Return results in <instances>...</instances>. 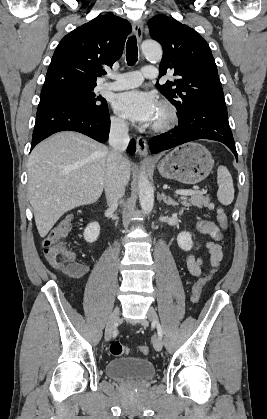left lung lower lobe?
Returning <instances> with one entry per match:
<instances>
[{"instance_id": "0a47b994", "label": "left lung lower lobe", "mask_w": 267, "mask_h": 419, "mask_svg": "<svg viewBox=\"0 0 267 419\" xmlns=\"http://www.w3.org/2000/svg\"><path fill=\"white\" fill-rule=\"evenodd\" d=\"M178 121L179 124L175 129L150 140L149 147L152 154L189 141L210 139L224 143L238 160L226 107L197 108Z\"/></svg>"}]
</instances>
